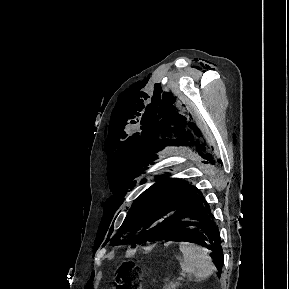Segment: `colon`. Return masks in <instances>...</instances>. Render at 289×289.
Returning <instances> with one entry per match:
<instances>
[{
	"label": "colon",
	"instance_id": "5ec220e1",
	"mask_svg": "<svg viewBox=\"0 0 289 289\" xmlns=\"http://www.w3.org/2000/svg\"><path fill=\"white\" fill-rule=\"evenodd\" d=\"M141 271L135 265H130L116 279V289H140Z\"/></svg>",
	"mask_w": 289,
	"mask_h": 289
}]
</instances>
